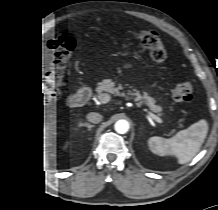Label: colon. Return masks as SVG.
I'll return each instance as SVG.
<instances>
[{"instance_id":"colon-1","label":"colon","mask_w":218,"mask_h":210,"mask_svg":"<svg viewBox=\"0 0 218 210\" xmlns=\"http://www.w3.org/2000/svg\"><path fill=\"white\" fill-rule=\"evenodd\" d=\"M134 37L140 41L153 62L161 63L165 60L166 49L158 33L144 30L136 32ZM78 46L79 41L75 36L64 37L49 75L41 83L26 88L19 94V103L24 110H41L49 103L62 98L68 78L67 68ZM171 93L175 101L190 102L193 98V86L188 81L181 82L174 86Z\"/></svg>"}]
</instances>
